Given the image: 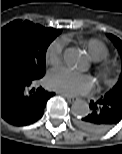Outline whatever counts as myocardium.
Instances as JSON below:
<instances>
[{
  "mask_svg": "<svg viewBox=\"0 0 122 154\" xmlns=\"http://www.w3.org/2000/svg\"><path fill=\"white\" fill-rule=\"evenodd\" d=\"M94 70L96 71L98 77L106 82L108 81L114 72V67L111 62L107 60H102L99 62H96L94 66Z\"/></svg>",
  "mask_w": 122,
  "mask_h": 154,
  "instance_id": "myocardium-1",
  "label": "myocardium"
}]
</instances>
